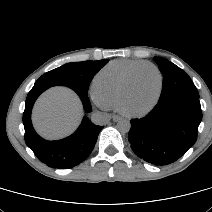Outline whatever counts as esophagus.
Segmentation results:
<instances>
[{
  "label": "esophagus",
  "mask_w": 212,
  "mask_h": 212,
  "mask_svg": "<svg viewBox=\"0 0 212 212\" xmlns=\"http://www.w3.org/2000/svg\"><path fill=\"white\" fill-rule=\"evenodd\" d=\"M112 119H113L114 122H117V121L121 120V117L118 116V115H113Z\"/></svg>",
  "instance_id": "1"
}]
</instances>
